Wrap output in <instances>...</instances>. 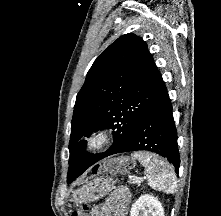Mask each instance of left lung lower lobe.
I'll use <instances>...</instances> for the list:
<instances>
[{
  "mask_svg": "<svg viewBox=\"0 0 221 216\" xmlns=\"http://www.w3.org/2000/svg\"><path fill=\"white\" fill-rule=\"evenodd\" d=\"M139 150L151 151L166 157L175 169L179 170L177 131L172 116V105L160 73L156 78L152 103L135 128L130 141L117 150L109 148L102 154H89L84 151L82 153L83 168L79 175L105 157Z\"/></svg>",
  "mask_w": 221,
  "mask_h": 216,
  "instance_id": "left-lung-lower-lobe-1",
  "label": "left lung lower lobe"
}]
</instances>
